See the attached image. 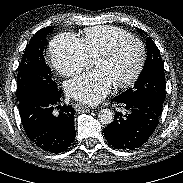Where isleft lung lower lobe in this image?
Here are the masks:
<instances>
[{"label":"left lung lower lobe","mask_w":183,"mask_h":183,"mask_svg":"<svg viewBox=\"0 0 183 183\" xmlns=\"http://www.w3.org/2000/svg\"><path fill=\"white\" fill-rule=\"evenodd\" d=\"M115 102L127 109L116 112L115 120L104 128L106 140L115 148L132 150L143 145L155 131L162 111L145 102L116 96Z\"/></svg>","instance_id":"0a47b994"}]
</instances>
